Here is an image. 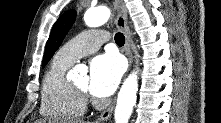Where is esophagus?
<instances>
[{
	"instance_id": "1",
	"label": "esophagus",
	"mask_w": 221,
	"mask_h": 123,
	"mask_svg": "<svg viewBox=\"0 0 221 123\" xmlns=\"http://www.w3.org/2000/svg\"><path fill=\"white\" fill-rule=\"evenodd\" d=\"M114 8L117 12L116 25L120 30L123 31L125 35L124 52L128 59L129 67H130L133 61V57H132V52L130 48L131 35H130L128 23H127V9L123 0H115ZM114 104H115V101H113L109 105V107L106 108L93 123H104L108 121V119L110 118L113 112Z\"/></svg>"
}]
</instances>
